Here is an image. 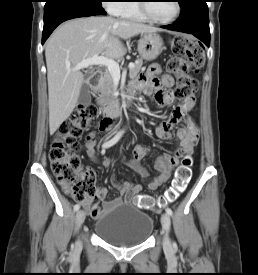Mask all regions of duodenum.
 <instances>
[{"instance_id": "410a0bca", "label": "duodenum", "mask_w": 258, "mask_h": 275, "mask_svg": "<svg viewBox=\"0 0 258 275\" xmlns=\"http://www.w3.org/2000/svg\"><path fill=\"white\" fill-rule=\"evenodd\" d=\"M101 79L102 74L99 71L94 72L88 80L89 86L93 90L97 89L101 83ZM132 96L133 93L130 92L127 99H117L110 106H108L104 114L105 120L111 123L113 119L122 114Z\"/></svg>"}]
</instances>
